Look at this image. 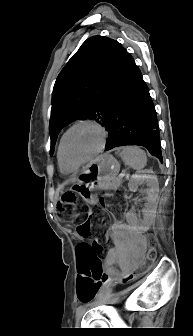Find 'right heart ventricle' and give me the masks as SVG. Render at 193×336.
<instances>
[{"instance_id": "right-heart-ventricle-1", "label": "right heart ventricle", "mask_w": 193, "mask_h": 336, "mask_svg": "<svg viewBox=\"0 0 193 336\" xmlns=\"http://www.w3.org/2000/svg\"><path fill=\"white\" fill-rule=\"evenodd\" d=\"M57 159H58L59 169L63 174L75 173L79 168V166H71L63 160L61 153H60V145L58 147Z\"/></svg>"}]
</instances>
